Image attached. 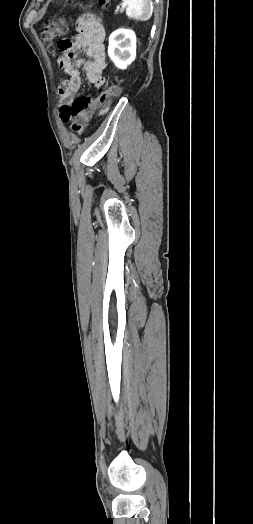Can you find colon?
I'll use <instances>...</instances> for the list:
<instances>
[{"label": "colon", "mask_w": 253, "mask_h": 524, "mask_svg": "<svg viewBox=\"0 0 253 524\" xmlns=\"http://www.w3.org/2000/svg\"><path fill=\"white\" fill-rule=\"evenodd\" d=\"M110 0H99L106 7ZM68 31V23L63 17H54L45 22L41 27L40 37L42 42L52 50L59 36ZM59 43V41L56 43ZM121 91L119 83L111 84L107 89L99 88L96 97H79L70 105H64L60 109V117L63 122H69L73 132L81 134L85 131L93 113L99 109L100 104L109 103L111 99ZM93 102V103H92Z\"/></svg>", "instance_id": "colon-1"}]
</instances>
